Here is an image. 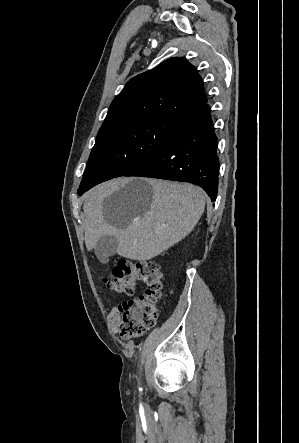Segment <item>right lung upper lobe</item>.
I'll return each mask as SVG.
<instances>
[{
	"label": "right lung upper lobe",
	"instance_id": "1",
	"mask_svg": "<svg viewBox=\"0 0 299 443\" xmlns=\"http://www.w3.org/2000/svg\"><path fill=\"white\" fill-rule=\"evenodd\" d=\"M206 103L203 81L184 58L132 78L113 100L98 135L145 118L181 120Z\"/></svg>",
	"mask_w": 299,
	"mask_h": 443
}]
</instances>
